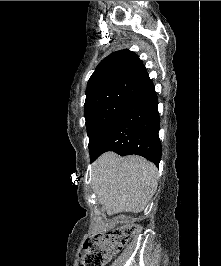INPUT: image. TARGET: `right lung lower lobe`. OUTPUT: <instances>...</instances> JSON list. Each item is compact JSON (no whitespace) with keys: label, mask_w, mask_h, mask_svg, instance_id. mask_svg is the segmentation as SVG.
Returning a JSON list of instances; mask_svg holds the SVG:
<instances>
[{"label":"right lung lower lobe","mask_w":221,"mask_h":266,"mask_svg":"<svg viewBox=\"0 0 221 266\" xmlns=\"http://www.w3.org/2000/svg\"><path fill=\"white\" fill-rule=\"evenodd\" d=\"M158 100L152 81L134 96L114 126L105 135L91 162L106 151L119 155L137 154L159 165L162 147L159 140Z\"/></svg>","instance_id":"98d812e1"}]
</instances>
